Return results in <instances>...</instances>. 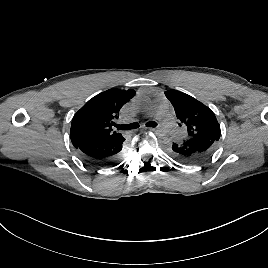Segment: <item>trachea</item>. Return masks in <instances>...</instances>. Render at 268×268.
<instances>
[{
    "label": "trachea",
    "mask_w": 268,
    "mask_h": 268,
    "mask_svg": "<svg viewBox=\"0 0 268 268\" xmlns=\"http://www.w3.org/2000/svg\"><path fill=\"white\" fill-rule=\"evenodd\" d=\"M118 129H121V130H131V129H136L139 127V124L137 122H134V123H131V124H122V125H115ZM146 126L148 127H156L157 126V123L154 122V121H149L146 123Z\"/></svg>",
    "instance_id": "obj_1"
}]
</instances>
